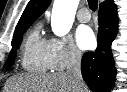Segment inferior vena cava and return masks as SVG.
Returning a JSON list of instances; mask_svg holds the SVG:
<instances>
[{
  "label": "inferior vena cava",
  "instance_id": "602c4592",
  "mask_svg": "<svg viewBox=\"0 0 127 92\" xmlns=\"http://www.w3.org/2000/svg\"><path fill=\"white\" fill-rule=\"evenodd\" d=\"M66 75L72 80L76 88L83 82L81 74V53L76 48H72L70 51Z\"/></svg>",
  "mask_w": 127,
  "mask_h": 92
}]
</instances>
